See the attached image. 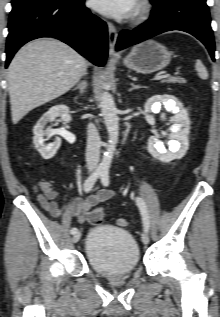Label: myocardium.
Listing matches in <instances>:
<instances>
[{
    "instance_id": "f54148a6",
    "label": "myocardium",
    "mask_w": 220,
    "mask_h": 317,
    "mask_svg": "<svg viewBox=\"0 0 220 317\" xmlns=\"http://www.w3.org/2000/svg\"><path fill=\"white\" fill-rule=\"evenodd\" d=\"M151 13V6L147 0H139L135 11H134V19L141 21L145 20L149 17Z\"/></svg>"
}]
</instances>
